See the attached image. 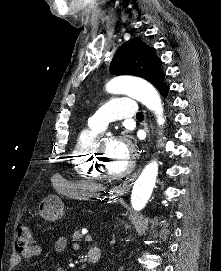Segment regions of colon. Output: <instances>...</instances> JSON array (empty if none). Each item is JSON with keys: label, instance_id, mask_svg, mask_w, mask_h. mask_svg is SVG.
I'll return each instance as SVG.
<instances>
[{"label": "colon", "instance_id": "colon-1", "mask_svg": "<svg viewBox=\"0 0 221 271\" xmlns=\"http://www.w3.org/2000/svg\"><path fill=\"white\" fill-rule=\"evenodd\" d=\"M35 243V235L28 223H20L16 236L15 248L21 252L33 246Z\"/></svg>", "mask_w": 221, "mask_h": 271}]
</instances>
